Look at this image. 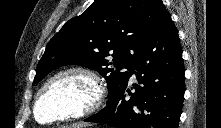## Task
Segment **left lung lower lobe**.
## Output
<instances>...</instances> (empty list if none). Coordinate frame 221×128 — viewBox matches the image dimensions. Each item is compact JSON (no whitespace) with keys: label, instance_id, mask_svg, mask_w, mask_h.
<instances>
[{"label":"left lung lower lobe","instance_id":"obj_1","mask_svg":"<svg viewBox=\"0 0 221 128\" xmlns=\"http://www.w3.org/2000/svg\"><path fill=\"white\" fill-rule=\"evenodd\" d=\"M134 70L141 86L134 84L131 89L135 92L131 93L127 82L104 109L85 121L116 128H178L185 71L170 14L131 60L129 78Z\"/></svg>","mask_w":221,"mask_h":128}]
</instances>
